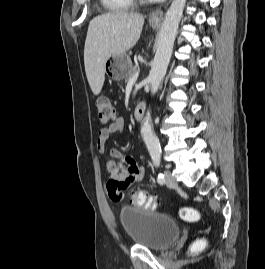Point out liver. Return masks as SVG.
Masks as SVG:
<instances>
[{"label": "liver", "instance_id": "liver-1", "mask_svg": "<svg viewBox=\"0 0 265 269\" xmlns=\"http://www.w3.org/2000/svg\"><path fill=\"white\" fill-rule=\"evenodd\" d=\"M143 25V15L129 12L105 13L91 20L84 47V65L94 95L102 90L106 61L112 55L124 54L133 48Z\"/></svg>", "mask_w": 265, "mask_h": 269}]
</instances>
